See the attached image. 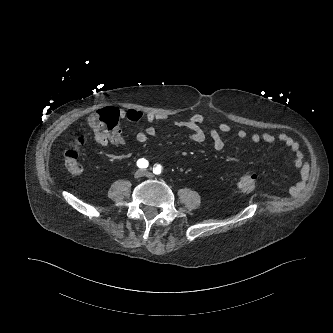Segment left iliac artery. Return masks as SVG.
I'll return each mask as SVG.
<instances>
[{"label": "left iliac artery", "instance_id": "1", "mask_svg": "<svg viewBox=\"0 0 333 333\" xmlns=\"http://www.w3.org/2000/svg\"><path fill=\"white\" fill-rule=\"evenodd\" d=\"M162 172V166L157 164L154 168H153V173L155 174H160Z\"/></svg>", "mask_w": 333, "mask_h": 333}]
</instances>
